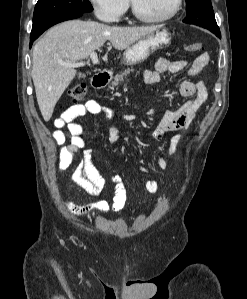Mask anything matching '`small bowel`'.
<instances>
[{
	"label": "small bowel",
	"mask_w": 247,
	"mask_h": 299,
	"mask_svg": "<svg viewBox=\"0 0 247 299\" xmlns=\"http://www.w3.org/2000/svg\"><path fill=\"white\" fill-rule=\"evenodd\" d=\"M209 62V55L203 52L196 56L188 65L185 60L169 61L160 59L156 62L154 69L146 70L143 80L146 84L153 85L161 81L164 73H178L187 67V74L190 77H200L204 67ZM179 92L184 97L191 98L177 109L166 110L153 131V136L161 140L167 132L187 129L193 122L198 110L205 103L208 97L205 83L199 79L197 82L183 80L179 85ZM86 114H101L105 119H113L114 111L110 107L103 106L94 99H89L81 104H74L68 107L58 118L55 119V130L52 134L54 141L60 146L58 168L60 171L67 169L72 161L81 154V159L71 174L73 184L88 195H99L106 187V181L99 173L94 164L93 151L85 149V139L83 137V127L75 120ZM67 130L70 140L67 142ZM120 129L113 125L109 134V142L116 144L120 141ZM180 139L179 135H174L170 139L167 149L156 161V167L165 169L167 157L174 152ZM147 173V169L141 168ZM113 182L112 202L99 201L92 205L79 206L72 202H67L68 209L76 216L90 217L94 213H108L121 211L127 202V194L121 177L114 174L111 178ZM146 190L153 194L157 191L158 185L154 180L145 182Z\"/></svg>",
	"instance_id": "small-bowel-1"
}]
</instances>
